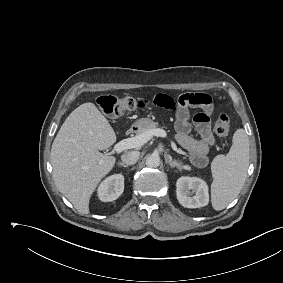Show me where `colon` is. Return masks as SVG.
Listing matches in <instances>:
<instances>
[{"mask_svg":"<svg viewBox=\"0 0 283 283\" xmlns=\"http://www.w3.org/2000/svg\"><path fill=\"white\" fill-rule=\"evenodd\" d=\"M141 98L126 96L116 98L113 96H101L97 102L104 113L117 116L124 111H135L138 108ZM215 133L221 138H228L230 135V120L226 113H221L214 124Z\"/></svg>","mask_w":283,"mask_h":283,"instance_id":"1","label":"colon"}]
</instances>
